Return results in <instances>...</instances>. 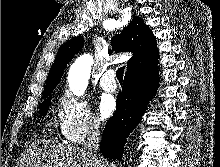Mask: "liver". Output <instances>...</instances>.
Wrapping results in <instances>:
<instances>
[{
  "instance_id": "6515ba94",
  "label": "liver",
  "mask_w": 220,
  "mask_h": 167,
  "mask_svg": "<svg viewBox=\"0 0 220 167\" xmlns=\"http://www.w3.org/2000/svg\"><path fill=\"white\" fill-rule=\"evenodd\" d=\"M15 167H107V162L80 147L38 140L21 154Z\"/></svg>"
}]
</instances>
